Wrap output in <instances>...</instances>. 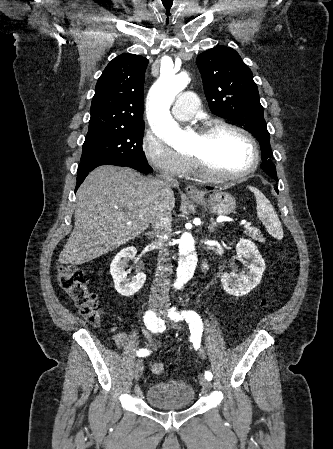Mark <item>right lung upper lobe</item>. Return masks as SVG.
Segmentation results:
<instances>
[{
	"label": "right lung upper lobe",
	"instance_id": "1",
	"mask_svg": "<svg viewBox=\"0 0 333 449\" xmlns=\"http://www.w3.org/2000/svg\"><path fill=\"white\" fill-rule=\"evenodd\" d=\"M148 59L135 54L114 58L98 79L89 128L142 124L144 74Z\"/></svg>",
	"mask_w": 333,
	"mask_h": 449
}]
</instances>
